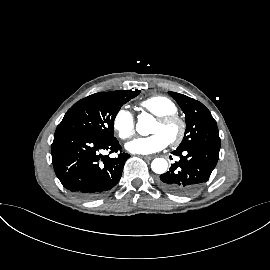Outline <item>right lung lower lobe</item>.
<instances>
[{
	"instance_id": "obj_1",
	"label": "right lung lower lobe",
	"mask_w": 270,
	"mask_h": 270,
	"mask_svg": "<svg viewBox=\"0 0 270 270\" xmlns=\"http://www.w3.org/2000/svg\"><path fill=\"white\" fill-rule=\"evenodd\" d=\"M120 149L117 139L104 141L81 132H55L51 147L54 171L67 190L79 198L94 199L119 182L130 157L120 153L117 158H110L100 151Z\"/></svg>"
}]
</instances>
